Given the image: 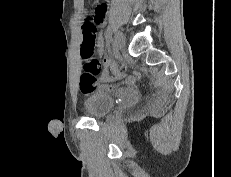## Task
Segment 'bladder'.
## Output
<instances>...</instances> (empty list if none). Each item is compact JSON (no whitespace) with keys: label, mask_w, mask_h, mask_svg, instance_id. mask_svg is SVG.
I'll return each mask as SVG.
<instances>
[{"label":"bladder","mask_w":231,"mask_h":177,"mask_svg":"<svg viewBox=\"0 0 231 177\" xmlns=\"http://www.w3.org/2000/svg\"><path fill=\"white\" fill-rule=\"evenodd\" d=\"M115 99L107 94L94 93L84 101V110L88 117L103 118L114 107Z\"/></svg>","instance_id":"1"}]
</instances>
